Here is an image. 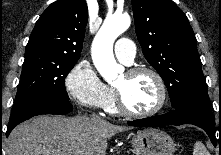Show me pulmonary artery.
<instances>
[{
    "instance_id": "pulmonary-artery-1",
    "label": "pulmonary artery",
    "mask_w": 221,
    "mask_h": 155,
    "mask_svg": "<svg viewBox=\"0 0 221 155\" xmlns=\"http://www.w3.org/2000/svg\"><path fill=\"white\" fill-rule=\"evenodd\" d=\"M114 52L119 61L130 65L135 57L134 43L128 38H121L116 42Z\"/></svg>"
}]
</instances>
